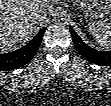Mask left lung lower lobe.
Here are the masks:
<instances>
[{"label":"left lung lower lobe","mask_w":111,"mask_h":106,"mask_svg":"<svg viewBox=\"0 0 111 106\" xmlns=\"http://www.w3.org/2000/svg\"><path fill=\"white\" fill-rule=\"evenodd\" d=\"M71 36L79 53L89 62L100 66H111V51H97L86 45L70 27Z\"/></svg>","instance_id":"obj_1"}]
</instances>
